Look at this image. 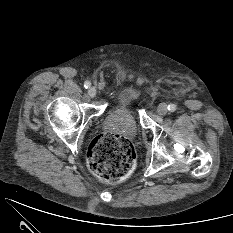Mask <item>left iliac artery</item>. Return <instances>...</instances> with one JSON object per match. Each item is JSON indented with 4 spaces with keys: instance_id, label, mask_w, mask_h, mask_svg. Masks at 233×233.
Here are the masks:
<instances>
[{
    "instance_id": "1",
    "label": "left iliac artery",
    "mask_w": 233,
    "mask_h": 233,
    "mask_svg": "<svg viewBox=\"0 0 233 233\" xmlns=\"http://www.w3.org/2000/svg\"><path fill=\"white\" fill-rule=\"evenodd\" d=\"M168 110L171 112H174L176 110V105L175 104H169L168 105Z\"/></svg>"
}]
</instances>
